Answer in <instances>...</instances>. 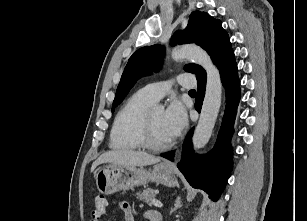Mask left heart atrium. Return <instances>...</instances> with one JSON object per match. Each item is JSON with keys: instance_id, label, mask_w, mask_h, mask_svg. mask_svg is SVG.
Segmentation results:
<instances>
[{"instance_id": "left-heart-atrium-1", "label": "left heart atrium", "mask_w": 307, "mask_h": 221, "mask_svg": "<svg viewBox=\"0 0 307 221\" xmlns=\"http://www.w3.org/2000/svg\"><path fill=\"white\" fill-rule=\"evenodd\" d=\"M164 123L170 139L181 134L187 125V113L183 105L174 100L164 113Z\"/></svg>"}]
</instances>
